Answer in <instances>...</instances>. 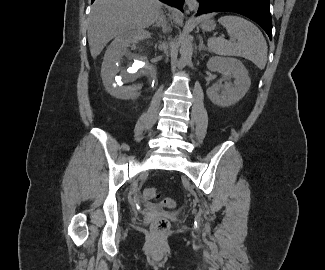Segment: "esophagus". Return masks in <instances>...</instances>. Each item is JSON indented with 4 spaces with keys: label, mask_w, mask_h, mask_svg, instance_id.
<instances>
[{
    "label": "esophagus",
    "mask_w": 325,
    "mask_h": 270,
    "mask_svg": "<svg viewBox=\"0 0 325 270\" xmlns=\"http://www.w3.org/2000/svg\"><path fill=\"white\" fill-rule=\"evenodd\" d=\"M185 3L190 10H193L197 7L196 0H185Z\"/></svg>",
    "instance_id": "34e87169"
}]
</instances>
